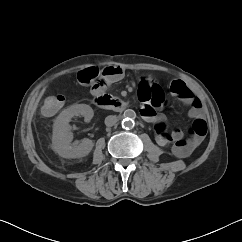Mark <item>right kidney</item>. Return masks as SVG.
<instances>
[{
  "label": "right kidney",
  "instance_id": "right-kidney-1",
  "mask_svg": "<svg viewBox=\"0 0 242 242\" xmlns=\"http://www.w3.org/2000/svg\"><path fill=\"white\" fill-rule=\"evenodd\" d=\"M94 115L93 109L86 104H75L64 109L56 118L53 126L52 147L63 158L73 159L87 156L94 143L85 138L79 144H71L72 135L69 122L74 116H83L89 122Z\"/></svg>",
  "mask_w": 242,
  "mask_h": 242
}]
</instances>
